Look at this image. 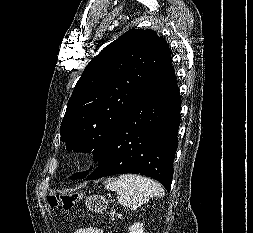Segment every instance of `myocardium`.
I'll return each instance as SVG.
<instances>
[{
	"label": "myocardium",
	"instance_id": "f54148a6",
	"mask_svg": "<svg viewBox=\"0 0 253 233\" xmlns=\"http://www.w3.org/2000/svg\"><path fill=\"white\" fill-rule=\"evenodd\" d=\"M91 160V154L84 149L75 150L67 158V164L71 169L77 170L86 166Z\"/></svg>",
	"mask_w": 253,
	"mask_h": 233
}]
</instances>
